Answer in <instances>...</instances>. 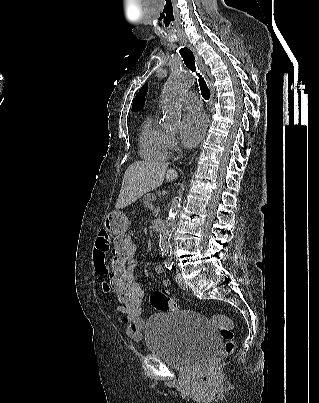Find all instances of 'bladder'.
Returning <instances> with one entry per match:
<instances>
[{
  "instance_id": "bladder-1",
  "label": "bladder",
  "mask_w": 319,
  "mask_h": 403,
  "mask_svg": "<svg viewBox=\"0 0 319 403\" xmlns=\"http://www.w3.org/2000/svg\"><path fill=\"white\" fill-rule=\"evenodd\" d=\"M144 334L148 351L181 371L197 369L220 346L210 320L194 311L153 314Z\"/></svg>"
}]
</instances>
